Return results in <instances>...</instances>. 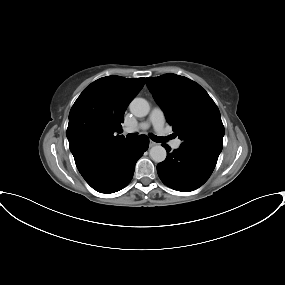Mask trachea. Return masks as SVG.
I'll return each mask as SVG.
<instances>
[{
  "label": "trachea",
  "mask_w": 285,
  "mask_h": 285,
  "mask_svg": "<svg viewBox=\"0 0 285 285\" xmlns=\"http://www.w3.org/2000/svg\"><path fill=\"white\" fill-rule=\"evenodd\" d=\"M135 138H137V134H135V133H129V134L127 135V139H129V140H134ZM150 138H151L153 141L158 142V143H162V142H165V141H166L165 138L156 136V135H154V134H150Z\"/></svg>",
  "instance_id": "trachea-1"
}]
</instances>
